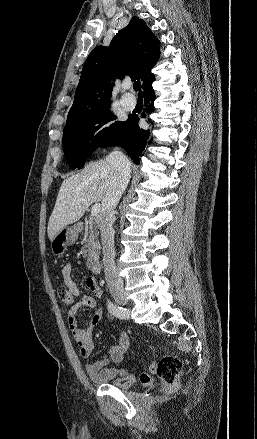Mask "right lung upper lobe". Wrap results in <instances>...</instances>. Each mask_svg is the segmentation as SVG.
Segmentation results:
<instances>
[{"mask_svg": "<svg viewBox=\"0 0 257 439\" xmlns=\"http://www.w3.org/2000/svg\"><path fill=\"white\" fill-rule=\"evenodd\" d=\"M159 44L145 22L135 17L114 36L110 47L94 48L81 72L67 122L110 106L115 77L141 79L144 89L154 78L151 69L160 55Z\"/></svg>", "mask_w": 257, "mask_h": 439, "instance_id": "right-lung-upper-lobe-1", "label": "right lung upper lobe"}]
</instances>
